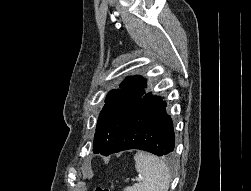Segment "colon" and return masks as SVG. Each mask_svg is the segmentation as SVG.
Segmentation results:
<instances>
[{"instance_id": "obj_1", "label": "colon", "mask_w": 251, "mask_h": 191, "mask_svg": "<svg viewBox=\"0 0 251 191\" xmlns=\"http://www.w3.org/2000/svg\"><path fill=\"white\" fill-rule=\"evenodd\" d=\"M95 191H110L109 188H102V187H98L95 189Z\"/></svg>"}]
</instances>
